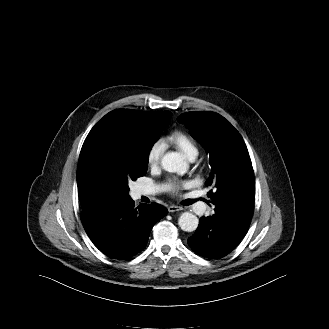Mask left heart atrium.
Masks as SVG:
<instances>
[{
  "mask_svg": "<svg viewBox=\"0 0 329 329\" xmlns=\"http://www.w3.org/2000/svg\"><path fill=\"white\" fill-rule=\"evenodd\" d=\"M182 186L183 184L176 180H169L166 184V188L172 193H177Z\"/></svg>",
  "mask_w": 329,
  "mask_h": 329,
  "instance_id": "obj_1",
  "label": "left heart atrium"
}]
</instances>
